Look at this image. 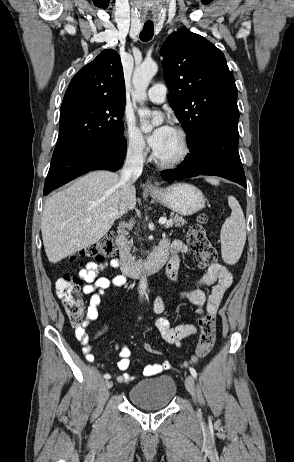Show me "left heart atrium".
<instances>
[{"label": "left heart atrium", "mask_w": 294, "mask_h": 462, "mask_svg": "<svg viewBox=\"0 0 294 462\" xmlns=\"http://www.w3.org/2000/svg\"><path fill=\"white\" fill-rule=\"evenodd\" d=\"M173 132L174 129L168 123H164L152 131L148 137V141L155 154H158L162 150L165 142Z\"/></svg>", "instance_id": "1"}]
</instances>
